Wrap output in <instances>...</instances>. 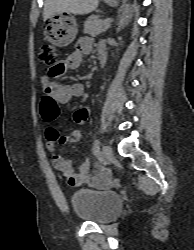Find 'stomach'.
Segmentation results:
<instances>
[{
	"mask_svg": "<svg viewBox=\"0 0 194 250\" xmlns=\"http://www.w3.org/2000/svg\"><path fill=\"white\" fill-rule=\"evenodd\" d=\"M109 5L116 6L117 0H105ZM45 22L44 35L55 46L66 47L71 44L77 35V23L69 13H54Z\"/></svg>",
	"mask_w": 194,
	"mask_h": 250,
	"instance_id": "0dacf381",
	"label": "stomach"
}]
</instances>
